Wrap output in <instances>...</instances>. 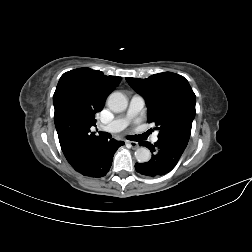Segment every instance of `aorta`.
Listing matches in <instances>:
<instances>
[{
  "label": "aorta",
  "instance_id": "762f6f07",
  "mask_svg": "<svg viewBox=\"0 0 252 252\" xmlns=\"http://www.w3.org/2000/svg\"><path fill=\"white\" fill-rule=\"evenodd\" d=\"M108 107L114 112H122L128 106L126 96L120 92H113L108 97ZM135 158L140 163L148 162L151 158L150 150L146 147H139L135 151Z\"/></svg>",
  "mask_w": 252,
  "mask_h": 252
}]
</instances>
